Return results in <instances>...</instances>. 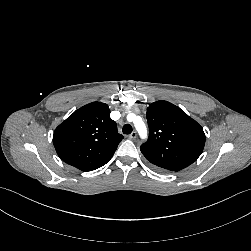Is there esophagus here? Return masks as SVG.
Segmentation results:
<instances>
[{
  "instance_id": "obj_1",
  "label": "esophagus",
  "mask_w": 251,
  "mask_h": 251,
  "mask_svg": "<svg viewBox=\"0 0 251 251\" xmlns=\"http://www.w3.org/2000/svg\"><path fill=\"white\" fill-rule=\"evenodd\" d=\"M128 137H129V139L134 140L137 137V133L135 131H133Z\"/></svg>"
}]
</instances>
